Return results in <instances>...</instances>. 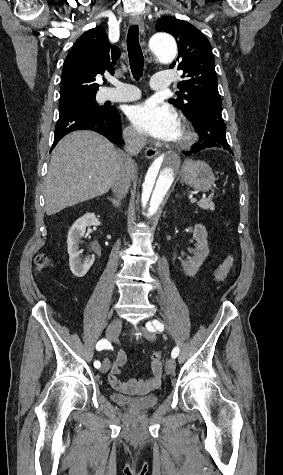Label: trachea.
<instances>
[{
  "instance_id": "1",
  "label": "trachea",
  "mask_w": 283,
  "mask_h": 475,
  "mask_svg": "<svg viewBox=\"0 0 283 475\" xmlns=\"http://www.w3.org/2000/svg\"><path fill=\"white\" fill-rule=\"evenodd\" d=\"M127 50L132 75L136 80H139L143 74L144 56L139 43L138 26L136 25L129 27L127 34Z\"/></svg>"
}]
</instances>
